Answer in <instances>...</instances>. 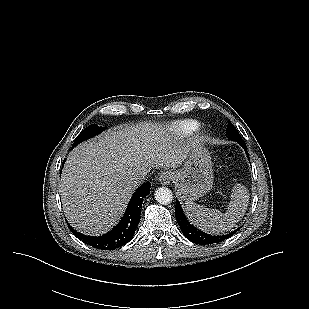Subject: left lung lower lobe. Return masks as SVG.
<instances>
[{"mask_svg": "<svg viewBox=\"0 0 309 309\" xmlns=\"http://www.w3.org/2000/svg\"><path fill=\"white\" fill-rule=\"evenodd\" d=\"M237 142L243 147V149L245 150V152L248 156V159H249V155H248V152H247L245 142L243 140L237 141ZM175 212H176V220H177L184 236L188 240H190L194 243L200 244V245H209V244L222 242L225 239L231 237L233 234H235L240 229V228H238V229L234 230L233 232H231L227 235L212 236V235H209L207 233H204L203 231L198 230L197 228H195L193 225H191L187 221L178 200H176Z\"/></svg>", "mask_w": 309, "mask_h": 309, "instance_id": "0a47b994", "label": "left lung lower lobe"}]
</instances>
